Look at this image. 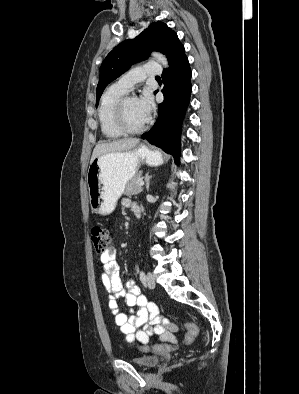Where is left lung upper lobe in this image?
I'll return each instance as SVG.
<instances>
[{"instance_id": "1", "label": "left lung upper lobe", "mask_w": 299, "mask_h": 394, "mask_svg": "<svg viewBox=\"0 0 299 394\" xmlns=\"http://www.w3.org/2000/svg\"><path fill=\"white\" fill-rule=\"evenodd\" d=\"M183 47L177 34L162 22H154L136 38L120 43L107 55L101 65L96 90V106L105 87L128 70L132 64L147 59L151 51L166 54L171 63Z\"/></svg>"}]
</instances>
